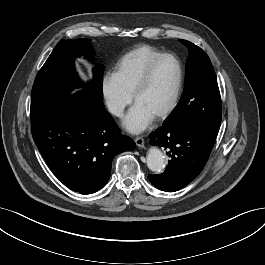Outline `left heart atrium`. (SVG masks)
<instances>
[{
	"label": "left heart atrium",
	"instance_id": "1",
	"mask_svg": "<svg viewBox=\"0 0 265 265\" xmlns=\"http://www.w3.org/2000/svg\"><path fill=\"white\" fill-rule=\"evenodd\" d=\"M153 119L154 116L148 111L134 104L124 118L123 125L131 133H140L152 123Z\"/></svg>",
	"mask_w": 265,
	"mask_h": 265
}]
</instances>
